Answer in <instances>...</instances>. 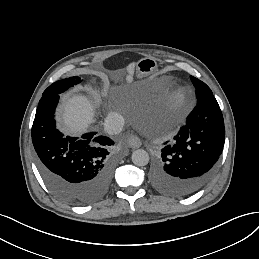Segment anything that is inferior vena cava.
Instances as JSON below:
<instances>
[{"label": "inferior vena cava", "mask_w": 259, "mask_h": 259, "mask_svg": "<svg viewBox=\"0 0 259 259\" xmlns=\"http://www.w3.org/2000/svg\"><path fill=\"white\" fill-rule=\"evenodd\" d=\"M124 126V118L122 115L111 112L105 119L104 130L109 135L119 134Z\"/></svg>", "instance_id": "1"}]
</instances>
